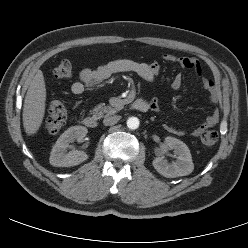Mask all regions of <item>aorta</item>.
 <instances>
[{
    "label": "aorta",
    "mask_w": 248,
    "mask_h": 248,
    "mask_svg": "<svg viewBox=\"0 0 248 248\" xmlns=\"http://www.w3.org/2000/svg\"><path fill=\"white\" fill-rule=\"evenodd\" d=\"M140 121L137 117H129L127 120V127L131 130H135L139 127Z\"/></svg>",
    "instance_id": "762f6f07"
}]
</instances>
